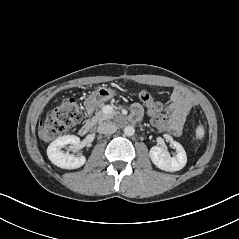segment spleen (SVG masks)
<instances>
[{
  "instance_id": "obj_1",
  "label": "spleen",
  "mask_w": 239,
  "mask_h": 239,
  "mask_svg": "<svg viewBox=\"0 0 239 239\" xmlns=\"http://www.w3.org/2000/svg\"><path fill=\"white\" fill-rule=\"evenodd\" d=\"M205 134V129L203 125H198L196 128V137L197 139H202L204 137Z\"/></svg>"
}]
</instances>
